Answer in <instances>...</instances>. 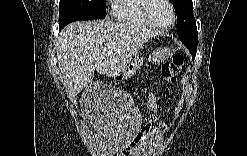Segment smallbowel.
Wrapping results in <instances>:
<instances>
[{
  "label": "small bowel",
  "instance_id": "c3829d8e",
  "mask_svg": "<svg viewBox=\"0 0 247 156\" xmlns=\"http://www.w3.org/2000/svg\"><path fill=\"white\" fill-rule=\"evenodd\" d=\"M148 106L152 111H156L157 104H156V99L154 95H151L149 97ZM151 121H158V118L156 116H152L149 119V122ZM150 127H151L150 131L147 130L148 127L144 130L146 134L151 133V132H156L157 134H160V133H164L168 129V126L166 124H159L158 126H150Z\"/></svg>",
  "mask_w": 247,
  "mask_h": 156
}]
</instances>
